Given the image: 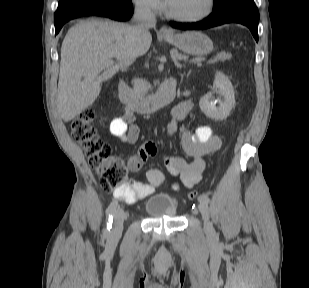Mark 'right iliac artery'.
I'll return each mask as SVG.
<instances>
[{
	"mask_svg": "<svg viewBox=\"0 0 309 288\" xmlns=\"http://www.w3.org/2000/svg\"><path fill=\"white\" fill-rule=\"evenodd\" d=\"M116 208H117V201L113 200L108 206L107 211H106V223H107V227L105 229L106 234L109 233L112 227L113 215L116 211Z\"/></svg>",
	"mask_w": 309,
	"mask_h": 288,
	"instance_id": "1",
	"label": "right iliac artery"
}]
</instances>
